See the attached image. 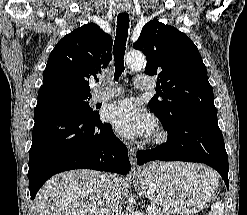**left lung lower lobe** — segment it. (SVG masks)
Returning <instances> with one entry per match:
<instances>
[{
    "mask_svg": "<svg viewBox=\"0 0 247 215\" xmlns=\"http://www.w3.org/2000/svg\"><path fill=\"white\" fill-rule=\"evenodd\" d=\"M164 127L168 132L167 142L155 149L139 151L138 165L153 160L204 163L217 170L229 187L228 155L217 117H182Z\"/></svg>",
    "mask_w": 247,
    "mask_h": 215,
    "instance_id": "obj_1",
    "label": "left lung lower lobe"
}]
</instances>
